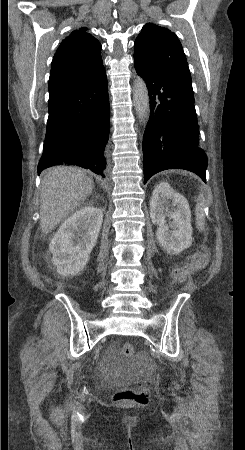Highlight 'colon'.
<instances>
[{
	"instance_id": "colon-1",
	"label": "colon",
	"mask_w": 245,
	"mask_h": 450,
	"mask_svg": "<svg viewBox=\"0 0 245 450\" xmlns=\"http://www.w3.org/2000/svg\"><path fill=\"white\" fill-rule=\"evenodd\" d=\"M208 248L203 247L201 251L193 255L192 259L184 263L173 271V279L175 283L183 282L192 273L203 269L207 263ZM120 352L125 357H131L134 353L133 346L129 343H124L120 347ZM150 392L144 385H134L123 388L115 393L113 401L115 402H130L135 404H146L149 401Z\"/></svg>"
}]
</instances>
